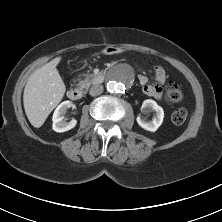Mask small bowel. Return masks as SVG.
I'll list each match as a JSON object with an SVG mask.
<instances>
[{
  "instance_id": "obj_1",
  "label": "small bowel",
  "mask_w": 222,
  "mask_h": 222,
  "mask_svg": "<svg viewBox=\"0 0 222 222\" xmlns=\"http://www.w3.org/2000/svg\"><path fill=\"white\" fill-rule=\"evenodd\" d=\"M155 74V82L150 83L148 78L144 75L139 76V82L143 87V91L147 96L154 97L160 99L162 96V88L161 85L166 80V72L162 66L154 67Z\"/></svg>"
}]
</instances>
